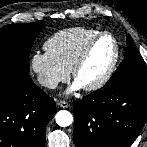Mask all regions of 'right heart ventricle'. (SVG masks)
Here are the masks:
<instances>
[{
    "mask_svg": "<svg viewBox=\"0 0 147 147\" xmlns=\"http://www.w3.org/2000/svg\"><path fill=\"white\" fill-rule=\"evenodd\" d=\"M98 30L86 27H72L56 32L44 43V48L58 63L71 70L75 60L86 43Z\"/></svg>",
    "mask_w": 147,
    "mask_h": 147,
    "instance_id": "obj_1",
    "label": "right heart ventricle"
}]
</instances>
